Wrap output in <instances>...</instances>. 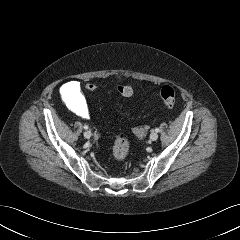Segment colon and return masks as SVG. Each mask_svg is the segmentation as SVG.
<instances>
[{
    "label": "colon",
    "instance_id": "5ec220e1",
    "mask_svg": "<svg viewBox=\"0 0 240 240\" xmlns=\"http://www.w3.org/2000/svg\"><path fill=\"white\" fill-rule=\"evenodd\" d=\"M86 91L93 93L97 89V85L93 82L85 84ZM118 94L124 97H130L133 94V89L127 85H119L116 88ZM160 99L167 108H173L176 103L175 92L172 87L164 86L160 91ZM129 153V142L124 135H117L113 155L117 160H124Z\"/></svg>",
    "mask_w": 240,
    "mask_h": 240
}]
</instances>
